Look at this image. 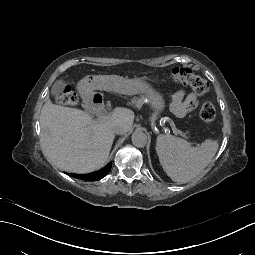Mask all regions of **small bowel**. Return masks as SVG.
Instances as JSON below:
<instances>
[{
  "label": "small bowel",
  "mask_w": 255,
  "mask_h": 255,
  "mask_svg": "<svg viewBox=\"0 0 255 255\" xmlns=\"http://www.w3.org/2000/svg\"><path fill=\"white\" fill-rule=\"evenodd\" d=\"M183 96H184V92H180L178 94L179 98H182ZM197 105H198V100L196 95L188 94L185 100L176 108L175 112L177 115L182 116L192 111L193 109H195Z\"/></svg>",
  "instance_id": "1"
}]
</instances>
